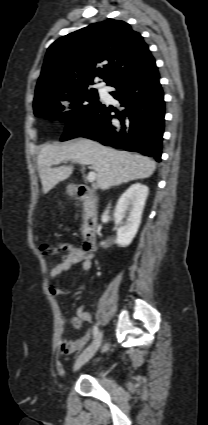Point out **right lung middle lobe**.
Here are the masks:
<instances>
[{
	"instance_id": "obj_1",
	"label": "right lung middle lobe",
	"mask_w": 208,
	"mask_h": 425,
	"mask_svg": "<svg viewBox=\"0 0 208 425\" xmlns=\"http://www.w3.org/2000/svg\"><path fill=\"white\" fill-rule=\"evenodd\" d=\"M69 103L68 106L63 103ZM101 103L96 89H82L65 94H52L34 102V114L47 118L70 121L78 115L88 113ZM68 109H71L68 111Z\"/></svg>"
}]
</instances>
